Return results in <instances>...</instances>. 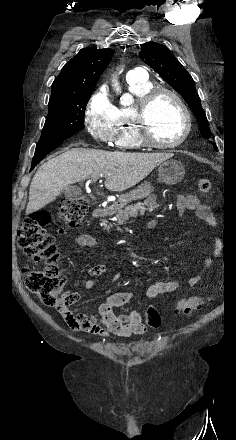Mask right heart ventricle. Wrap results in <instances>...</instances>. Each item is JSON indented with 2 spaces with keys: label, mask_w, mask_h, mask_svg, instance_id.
Returning <instances> with one entry per match:
<instances>
[{
  "label": "right heart ventricle",
  "mask_w": 236,
  "mask_h": 440,
  "mask_svg": "<svg viewBox=\"0 0 236 440\" xmlns=\"http://www.w3.org/2000/svg\"><path fill=\"white\" fill-rule=\"evenodd\" d=\"M129 90L139 99L153 88L150 80H127ZM134 107H115L114 143L121 148L136 149L143 146L133 122Z\"/></svg>",
  "instance_id": "right-heart-ventricle-1"
}]
</instances>
